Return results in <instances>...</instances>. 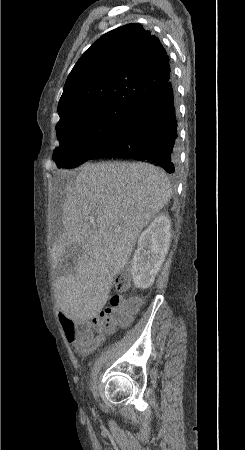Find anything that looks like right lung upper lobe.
<instances>
[{"label": "right lung upper lobe", "instance_id": "1", "mask_svg": "<svg viewBox=\"0 0 245 450\" xmlns=\"http://www.w3.org/2000/svg\"><path fill=\"white\" fill-rule=\"evenodd\" d=\"M171 78L162 44L140 24L100 37L70 72L58 104L60 117L102 104L135 108Z\"/></svg>", "mask_w": 245, "mask_h": 450}]
</instances>
